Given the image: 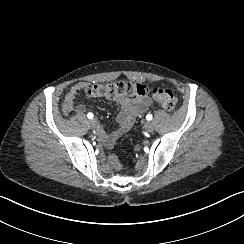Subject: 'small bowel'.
<instances>
[{"label":"small bowel","mask_w":244,"mask_h":244,"mask_svg":"<svg viewBox=\"0 0 244 244\" xmlns=\"http://www.w3.org/2000/svg\"><path fill=\"white\" fill-rule=\"evenodd\" d=\"M85 87L86 84L84 82H78L69 89L63 100V109L65 111L69 112L74 110L79 115L86 112V106L84 104L75 103L76 96L83 91ZM115 102L120 107V112L117 117L119 127L107 136L108 142H111L127 132L132 127L137 116L146 112L152 103L151 99L147 97L136 99L117 97L115 98Z\"/></svg>","instance_id":"obj_1"}]
</instances>
